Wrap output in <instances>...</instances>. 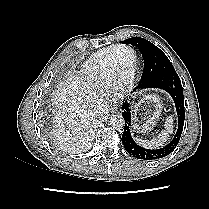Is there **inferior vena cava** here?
Masks as SVG:
<instances>
[{"label": "inferior vena cava", "instance_id": "obj_1", "mask_svg": "<svg viewBox=\"0 0 209 209\" xmlns=\"http://www.w3.org/2000/svg\"><path fill=\"white\" fill-rule=\"evenodd\" d=\"M106 110H107L106 106L98 105L94 108V114H96L98 116H103L104 113L106 112Z\"/></svg>", "mask_w": 209, "mask_h": 209}]
</instances>
